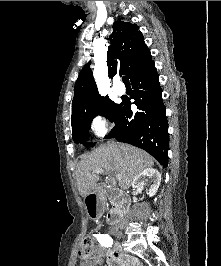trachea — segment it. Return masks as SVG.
<instances>
[{"label":"trachea","mask_w":221,"mask_h":266,"mask_svg":"<svg viewBox=\"0 0 221 266\" xmlns=\"http://www.w3.org/2000/svg\"><path fill=\"white\" fill-rule=\"evenodd\" d=\"M122 80H123V82H124L125 84H129V80H128V78H127L126 76H123V77H122Z\"/></svg>","instance_id":"3493384b"}]
</instances>
